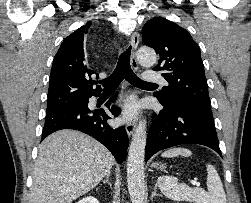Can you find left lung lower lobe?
Masks as SVG:
<instances>
[{
	"label": "left lung lower lobe",
	"mask_w": 251,
	"mask_h": 203,
	"mask_svg": "<svg viewBox=\"0 0 251 203\" xmlns=\"http://www.w3.org/2000/svg\"><path fill=\"white\" fill-rule=\"evenodd\" d=\"M147 136L145 161L156 152L181 144L207 146L222 156L212 112L191 103L166 107L153 114Z\"/></svg>",
	"instance_id": "obj_1"
}]
</instances>
